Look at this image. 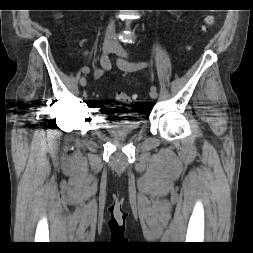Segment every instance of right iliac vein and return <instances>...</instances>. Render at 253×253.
<instances>
[{
  "label": "right iliac vein",
  "instance_id": "63e3f726",
  "mask_svg": "<svg viewBox=\"0 0 253 253\" xmlns=\"http://www.w3.org/2000/svg\"><path fill=\"white\" fill-rule=\"evenodd\" d=\"M114 47V42H113V39L110 38V37H106L104 42H103V52L106 54V53H109ZM80 84L81 86H85L86 85V79L84 77H82L80 79Z\"/></svg>",
  "mask_w": 253,
  "mask_h": 253
}]
</instances>
